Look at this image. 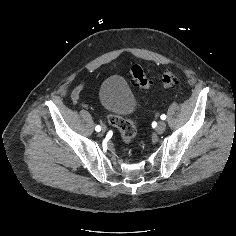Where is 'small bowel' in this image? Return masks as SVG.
<instances>
[{
  "label": "small bowel",
  "instance_id": "1",
  "mask_svg": "<svg viewBox=\"0 0 236 236\" xmlns=\"http://www.w3.org/2000/svg\"><path fill=\"white\" fill-rule=\"evenodd\" d=\"M80 91H81V89H80V88L76 89V90H75V93H74V94H75V96H79V94H80Z\"/></svg>",
  "mask_w": 236,
  "mask_h": 236
}]
</instances>
